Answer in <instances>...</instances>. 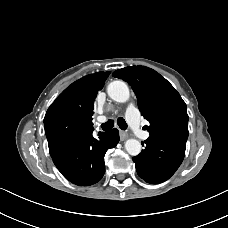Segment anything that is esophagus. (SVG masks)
Returning a JSON list of instances; mask_svg holds the SVG:
<instances>
[{"label": "esophagus", "mask_w": 228, "mask_h": 228, "mask_svg": "<svg viewBox=\"0 0 228 228\" xmlns=\"http://www.w3.org/2000/svg\"><path fill=\"white\" fill-rule=\"evenodd\" d=\"M119 135H120V140L121 141H124V140H126L129 137V134L127 132H125V131H122V130L119 131Z\"/></svg>", "instance_id": "obj_1"}]
</instances>
